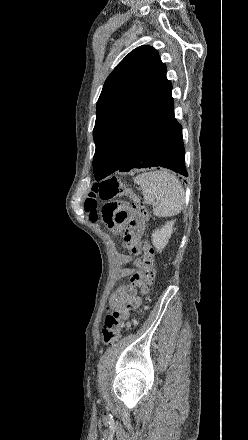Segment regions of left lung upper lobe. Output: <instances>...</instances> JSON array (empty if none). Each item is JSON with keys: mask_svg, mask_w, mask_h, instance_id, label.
I'll use <instances>...</instances> for the list:
<instances>
[{"mask_svg": "<svg viewBox=\"0 0 248 440\" xmlns=\"http://www.w3.org/2000/svg\"><path fill=\"white\" fill-rule=\"evenodd\" d=\"M166 66L150 46L131 51L108 76L97 102L93 158L97 181L117 170L127 152L173 112Z\"/></svg>", "mask_w": 248, "mask_h": 440, "instance_id": "1", "label": "left lung upper lobe"}]
</instances>
